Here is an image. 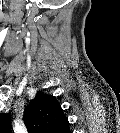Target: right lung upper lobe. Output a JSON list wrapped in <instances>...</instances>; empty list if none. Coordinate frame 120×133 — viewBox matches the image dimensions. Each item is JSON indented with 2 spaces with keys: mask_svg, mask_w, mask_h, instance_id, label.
<instances>
[{
  "mask_svg": "<svg viewBox=\"0 0 120 133\" xmlns=\"http://www.w3.org/2000/svg\"><path fill=\"white\" fill-rule=\"evenodd\" d=\"M25 122L45 130L66 129L67 120L53 96L38 93L30 103ZM30 121V122H28Z\"/></svg>",
  "mask_w": 120,
  "mask_h": 133,
  "instance_id": "1",
  "label": "right lung upper lobe"
}]
</instances>
